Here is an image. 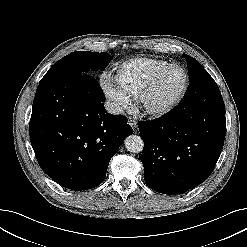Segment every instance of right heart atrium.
Instances as JSON below:
<instances>
[{"instance_id":"1","label":"right heart atrium","mask_w":247,"mask_h":247,"mask_svg":"<svg viewBox=\"0 0 247 247\" xmlns=\"http://www.w3.org/2000/svg\"><path fill=\"white\" fill-rule=\"evenodd\" d=\"M99 84L103 94L111 102L112 107L116 111H122L130 106V97L110 77L102 76Z\"/></svg>"}]
</instances>
